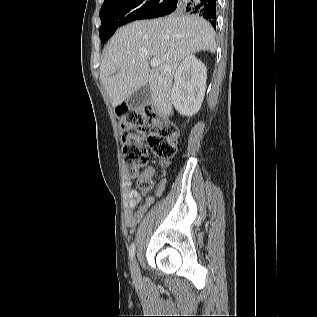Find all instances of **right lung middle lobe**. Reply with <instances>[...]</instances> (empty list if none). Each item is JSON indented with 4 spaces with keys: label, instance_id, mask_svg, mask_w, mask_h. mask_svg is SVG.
<instances>
[{
    "label": "right lung middle lobe",
    "instance_id": "1",
    "mask_svg": "<svg viewBox=\"0 0 317 317\" xmlns=\"http://www.w3.org/2000/svg\"><path fill=\"white\" fill-rule=\"evenodd\" d=\"M170 1L171 0H105L99 13L102 22L99 35L102 43H105L118 27L131 21L161 17L174 11L179 12L184 10V0L164 10V7Z\"/></svg>",
    "mask_w": 317,
    "mask_h": 317
}]
</instances>
